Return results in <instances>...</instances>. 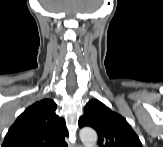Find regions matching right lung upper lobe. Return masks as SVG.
Returning <instances> with one entry per match:
<instances>
[{
	"label": "right lung upper lobe",
	"mask_w": 163,
	"mask_h": 147,
	"mask_svg": "<svg viewBox=\"0 0 163 147\" xmlns=\"http://www.w3.org/2000/svg\"><path fill=\"white\" fill-rule=\"evenodd\" d=\"M56 103L43 99L28 107L10 127L2 147H60L68 130Z\"/></svg>",
	"instance_id": "cb5924a9"
}]
</instances>
